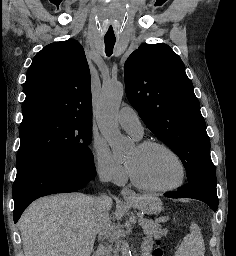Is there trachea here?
<instances>
[{
	"label": "trachea",
	"instance_id": "trachea-1",
	"mask_svg": "<svg viewBox=\"0 0 236 256\" xmlns=\"http://www.w3.org/2000/svg\"><path fill=\"white\" fill-rule=\"evenodd\" d=\"M106 55L110 56L113 53L115 38H104Z\"/></svg>",
	"mask_w": 236,
	"mask_h": 256
}]
</instances>
